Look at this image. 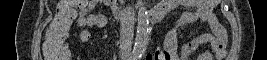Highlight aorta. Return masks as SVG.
<instances>
[{
	"instance_id": "aorta-1",
	"label": "aorta",
	"mask_w": 267,
	"mask_h": 60,
	"mask_svg": "<svg viewBox=\"0 0 267 60\" xmlns=\"http://www.w3.org/2000/svg\"><path fill=\"white\" fill-rule=\"evenodd\" d=\"M137 20L138 25L134 53L141 54L146 47L149 30V15L143 2L139 4Z\"/></svg>"
}]
</instances>
